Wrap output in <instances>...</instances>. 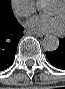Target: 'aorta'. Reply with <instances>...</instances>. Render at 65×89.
I'll return each mask as SVG.
<instances>
[{
    "label": "aorta",
    "instance_id": "762f6f07",
    "mask_svg": "<svg viewBox=\"0 0 65 89\" xmlns=\"http://www.w3.org/2000/svg\"><path fill=\"white\" fill-rule=\"evenodd\" d=\"M47 6L46 1H39L38 8L45 9ZM42 46L45 51L53 52L59 47V39L54 35H46L42 41Z\"/></svg>",
    "mask_w": 65,
    "mask_h": 89
}]
</instances>
